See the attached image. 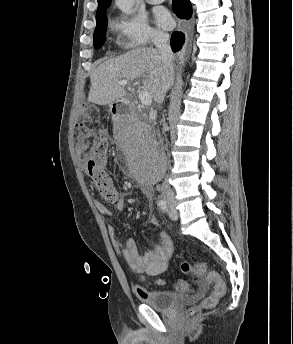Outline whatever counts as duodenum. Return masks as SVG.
<instances>
[{
    "label": "duodenum",
    "instance_id": "obj_1",
    "mask_svg": "<svg viewBox=\"0 0 293 344\" xmlns=\"http://www.w3.org/2000/svg\"><path fill=\"white\" fill-rule=\"evenodd\" d=\"M120 110H121V108H118V111H120ZM117 113H118V112H114L113 114H114V115H117Z\"/></svg>",
    "mask_w": 293,
    "mask_h": 344
}]
</instances>
